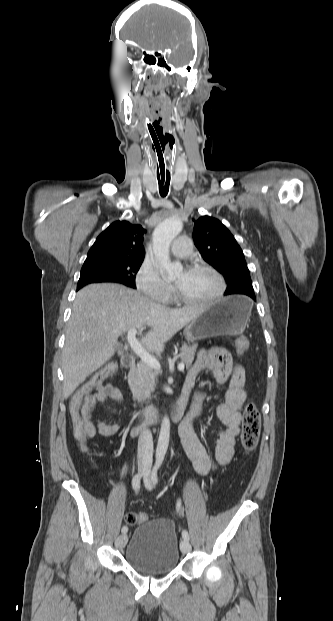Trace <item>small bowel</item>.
I'll use <instances>...</instances> for the list:
<instances>
[{"instance_id":"small-bowel-1","label":"small bowel","mask_w":333,"mask_h":621,"mask_svg":"<svg viewBox=\"0 0 333 621\" xmlns=\"http://www.w3.org/2000/svg\"><path fill=\"white\" fill-rule=\"evenodd\" d=\"M205 370L211 372L217 382H228V390L225 401L217 407V416L226 428L217 437L214 459L210 457L192 428L193 419L201 411L205 397L203 391L195 392L190 411L181 425L180 434L184 450L196 471L202 476H207L230 463L235 451L236 438L240 432L242 408L247 396L246 369L240 363L235 362L228 351L218 347L201 351L186 375L185 384L191 385L193 389L199 374ZM108 399L121 401L123 394L112 384H105L84 396L80 414L87 437H94L96 434L110 437L118 432L120 427L117 423H105L94 417L96 405Z\"/></svg>"}]
</instances>
